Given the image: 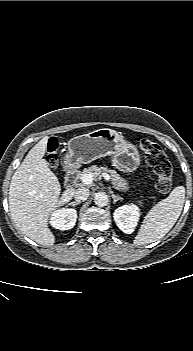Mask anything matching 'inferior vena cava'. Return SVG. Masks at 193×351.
Here are the masks:
<instances>
[{
    "instance_id": "inferior-vena-cava-1",
    "label": "inferior vena cava",
    "mask_w": 193,
    "mask_h": 351,
    "mask_svg": "<svg viewBox=\"0 0 193 351\" xmlns=\"http://www.w3.org/2000/svg\"><path fill=\"white\" fill-rule=\"evenodd\" d=\"M90 192L88 188L85 187H80L75 190L74 192V198L76 201H85L89 197Z\"/></svg>"
}]
</instances>
